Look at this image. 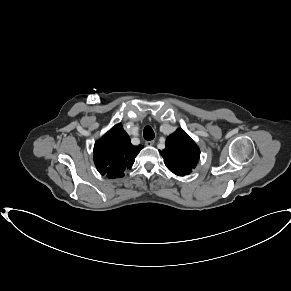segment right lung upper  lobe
Returning <instances> with one entry per match:
<instances>
[{
  "mask_svg": "<svg viewBox=\"0 0 291 291\" xmlns=\"http://www.w3.org/2000/svg\"><path fill=\"white\" fill-rule=\"evenodd\" d=\"M143 146H133L121 124L112 127L94 145V163L98 172L110 179L124 176Z\"/></svg>",
  "mask_w": 291,
  "mask_h": 291,
  "instance_id": "cb5924a9",
  "label": "right lung upper lobe"
}]
</instances>
